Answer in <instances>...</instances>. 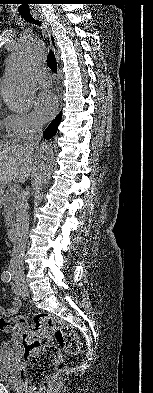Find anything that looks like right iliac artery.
I'll return each instance as SVG.
<instances>
[{"mask_svg":"<svg viewBox=\"0 0 153 393\" xmlns=\"http://www.w3.org/2000/svg\"><path fill=\"white\" fill-rule=\"evenodd\" d=\"M1 279H2L3 282H7L8 283L12 279V274L9 271H4L1 274Z\"/></svg>","mask_w":153,"mask_h":393,"instance_id":"obj_1","label":"right iliac artery"}]
</instances>
